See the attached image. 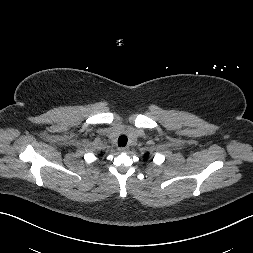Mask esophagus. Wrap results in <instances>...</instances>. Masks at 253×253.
Wrapping results in <instances>:
<instances>
[{
  "label": "esophagus",
  "mask_w": 253,
  "mask_h": 253,
  "mask_svg": "<svg viewBox=\"0 0 253 253\" xmlns=\"http://www.w3.org/2000/svg\"><path fill=\"white\" fill-rule=\"evenodd\" d=\"M128 150H129L128 147H120V148H119V151L122 152V153H125V152H127Z\"/></svg>",
  "instance_id": "obj_1"
}]
</instances>
